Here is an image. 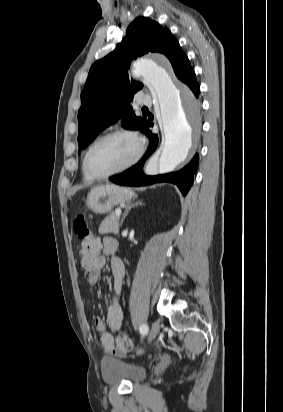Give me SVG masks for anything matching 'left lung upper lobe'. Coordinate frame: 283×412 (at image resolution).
<instances>
[{"label": "left lung upper lobe", "instance_id": "5c2ea615", "mask_svg": "<svg viewBox=\"0 0 283 412\" xmlns=\"http://www.w3.org/2000/svg\"><path fill=\"white\" fill-rule=\"evenodd\" d=\"M148 52L164 54L181 81L193 71L188 57L169 29L148 18H136L116 50L94 63L89 71L78 112V143L81 148L119 119L126 129H145L149 121L136 117L130 106L134 93L143 85L129 81L127 70L132 59Z\"/></svg>", "mask_w": 283, "mask_h": 412}]
</instances>
